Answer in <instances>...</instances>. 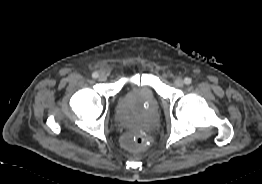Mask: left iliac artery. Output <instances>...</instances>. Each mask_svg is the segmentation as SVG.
Wrapping results in <instances>:
<instances>
[{
    "label": "left iliac artery",
    "instance_id": "44dca946",
    "mask_svg": "<svg viewBox=\"0 0 262 184\" xmlns=\"http://www.w3.org/2000/svg\"><path fill=\"white\" fill-rule=\"evenodd\" d=\"M184 82H185V84L189 85V84H191L192 80H191V78L186 77L184 79Z\"/></svg>",
    "mask_w": 262,
    "mask_h": 184
}]
</instances>
